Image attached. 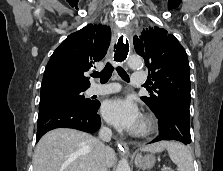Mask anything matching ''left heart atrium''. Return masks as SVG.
<instances>
[{"label":"left heart atrium","instance_id":"obj_1","mask_svg":"<svg viewBox=\"0 0 223 171\" xmlns=\"http://www.w3.org/2000/svg\"><path fill=\"white\" fill-rule=\"evenodd\" d=\"M101 112L105 120L119 130L134 131L140 124L138 107L127 98H114L105 101Z\"/></svg>","mask_w":223,"mask_h":171}]
</instances>
